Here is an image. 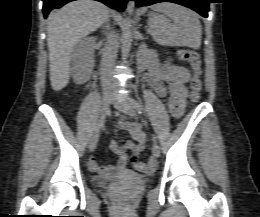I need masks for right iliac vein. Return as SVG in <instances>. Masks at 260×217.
Wrapping results in <instances>:
<instances>
[{
    "instance_id": "63e3f726",
    "label": "right iliac vein",
    "mask_w": 260,
    "mask_h": 217,
    "mask_svg": "<svg viewBox=\"0 0 260 217\" xmlns=\"http://www.w3.org/2000/svg\"><path fill=\"white\" fill-rule=\"evenodd\" d=\"M113 101V97L110 93H106L104 94L103 98H102V116L100 119V122L98 124V129L96 130L95 134L93 135L90 144H89V149L90 151H93L97 145L98 142V138H99V134H100V129L102 128L103 124H104V119L108 113L110 104Z\"/></svg>"
}]
</instances>
